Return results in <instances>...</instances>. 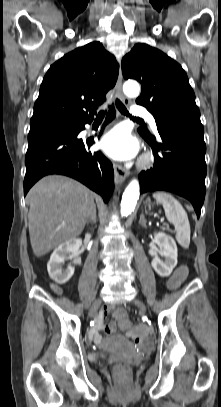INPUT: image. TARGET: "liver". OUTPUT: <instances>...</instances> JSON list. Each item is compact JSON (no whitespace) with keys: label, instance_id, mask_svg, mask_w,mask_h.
<instances>
[{"label":"liver","instance_id":"obj_1","mask_svg":"<svg viewBox=\"0 0 221 407\" xmlns=\"http://www.w3.org/2000/svg\"><path fill=\"white\" fill-rule=\"evenodd\" d=\"M28 227L35 256L78 237L94 209V194L81 183L61 175L40 179L28 192Z\"/></svg>","mask_w":221,"mask_h":407}]
</instances>
